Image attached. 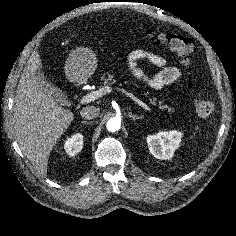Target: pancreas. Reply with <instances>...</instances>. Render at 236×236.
<instances>
[{
	"mask_svg": "<svg viewBox=\"0 0 236 236\" xmlns=\"http://www.w3.org/2000/svg\"><path fill=\"white\" fill-rule=\"evenodd\" d=\"M101 81H103L104 85H111V84L115 83L114 75H111L109 72H106L102 75ZM156 101H157L156 98L150 99V103L152 105H156L157 104ZM158 104H159L160 109H162V110L167 109L168 112H173L172 108L168 107L167 105H163V101H158Z\"/></svg>",
	"mask_w": 236,
	"mask_h": 236,
	"instance_id": "pancreas-1",
	"label": "pancreas"
}]
</instances>
